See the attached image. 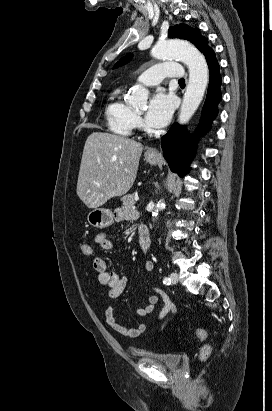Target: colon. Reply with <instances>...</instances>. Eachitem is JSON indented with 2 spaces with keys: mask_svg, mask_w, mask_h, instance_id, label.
Listing matches in <instances>:
<instances>
[{
  "mask_svg": "<svg viewBox=\"0 0 272 411\" xmlns=\"http://www.w3.org/2000/svg\"><path fill=\"white\" fill-rule=\"evenodd\" d=\"M80 251L84 256H90L92 253L91 246L87 243H82L80 245ZM194 337L197 340H203L206 337V331L203 328H198L195 331ZM211 351H212V347L210 344L203 345L199 352V360L201 362H204L205 360H207L211 354Z\"/></svg>",
  "mask_w": 272,
  "mask_h": 411,
  "instance_id": "colon-1",
  "label": "colon"
}]
</instances>
